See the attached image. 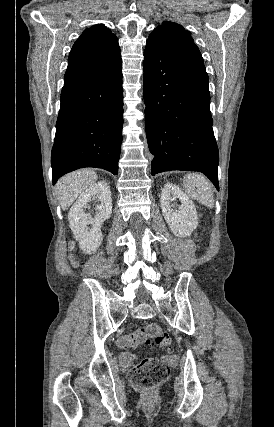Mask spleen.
<instances>
[{"mask_svg": "<svg viewBox=\"0 0 274 427\" xmlns=\"http://www.w3.org/2000/svg\"><path fill=\"white\" fill-rule=\"evenodd\" d=\"M185 194L192 200H198L199 204L213 208V192L210 182L202 174H187L183 178Z\"/></svg>", "mask_w": 274, "mask_h": 427, "instance_id": "1", "label": "spleen"}]
</instances>
